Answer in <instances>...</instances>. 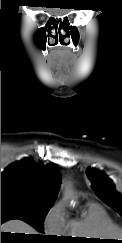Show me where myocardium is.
I'll return each mask as SVG.
<instances>
[{
  "label": "myocardium",
  "instance_id": "f54148a6",
  "mask_svg": "<svg viewBox=\"0 0 122 243\" xmlns=\"http://www.w3.org/2000/svg\"><path fill=\"white\" fill-rule=\"evenodd\" d=\"M111 233L113 236H118L119 234H122V230L118 229L117 227L111 228Z\"/></svg>",
  "mask_w": 122,
  "mask_h": 243
}]
</instances>
